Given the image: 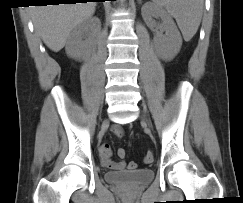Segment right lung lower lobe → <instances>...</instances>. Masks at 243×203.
I'll return each instance as SVG.
<instances>
[{
    "mask_svg": "<svg viewBox=\"0 0 243 203\" xmlns=\"http://www.w3.org/2000/svg\"><path fill=\"white\" fill-rule=\"evenodd\" d=\"M43 1H49V0H40V3L44 4ZM61 1L62 2H59V3H69L70 4V3H76L77 1H86V0H61ZM93 1L99 2V1H105V0H93ZM111 1H115V0H111ZM41 4H39V5H41Z\"/></svg>",
    "mask_w": 243,
    "mask_h": 203,
    "instance_id": "right-lung-lower-lobe-1",
    "label": "right lung lower lobe"
}]
</instances>
